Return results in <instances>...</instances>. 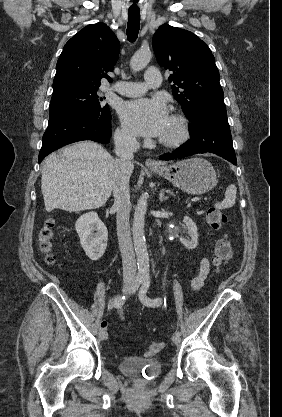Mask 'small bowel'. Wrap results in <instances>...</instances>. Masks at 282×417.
I'll use <instances>...</instances> for the list:
<instances>
[{"mask_svg": "<svg viewBox=\"0 0 282 417\" xmlns=\"http://www.w3.org/2000/svg\"><path fill=\"white\" fill-rule=\"evenodd\" d=\"M209 272H210V262H209L208 258L203 257V258H201L200 263H199L198 274L191 280V283H190V287H191L192 291H194V292L198 291L203 287V285L205 283V280L207 279V277L209 275ZM117 312H118L119 320L121 322H124L125 321V316H124L123 310L121 308H119L117 310ZM102 326L104 328L107 327L106 321L103 322Z\"/></svg>", "mask_w": 282, "mask_h": 417, "instance_id": "obj_1", "label": "small bowel"}]
</instances>
